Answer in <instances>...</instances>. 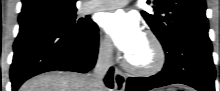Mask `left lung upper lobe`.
<instances>
[{
  "label": "left lung upper lobe",
  "mask_w": 220,
  "mask_h": 91,
  "mask_svg": "<svg viewBox=\"0 0 220 91\" xmlns=\"http://www.w3.org/2000/svg\"><path fill=\"white\" fill-rule=\"evenodd\" d=\"M150 3V2H148ZM141 14L163 46L182 36H208L205 0H155Z\"/></svg>",
  "instance_id": "1"
}]
</instances>
